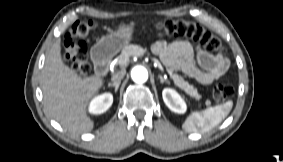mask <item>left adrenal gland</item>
Segmentation results:
<instances>
[{
	"instance_id": "1",
	"label": "left adrenal gland",
	"mask_w": 283,
	"mask_h": 162,
	"mask_svg": "<svg viewBox=\"0 0 283 162\" xmlns=\"http://www.w3.org/2000/svg\"><path fill=\"white\" fill-rule=\"evenodd\" d=\"M158 77L160 78V82H161V83L166 82V83H168V84H169V80H167V79L163 78V77H162V75H158Z\"/></svg>"
}]
</instances>
